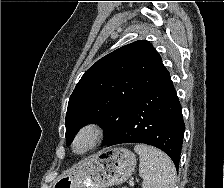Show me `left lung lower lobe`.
<instances>
[{
    "label": "left lung lower lobe",
    "instance_id": "obj_1",
    "mask_svg": "<svg viewBox=\"0 0 224 188\" xmlns=\"http://www.w3.org/2000/svg\"><path fill=\"white\" fill-rule=\"evenodd\" d=\"M184 122L169 73L150 85L133 103L106 146L144 143L163 150L178 170Z\"/></svg>",
    "mask_w": 224,
    "mask_h": 188
}]
</instances>
